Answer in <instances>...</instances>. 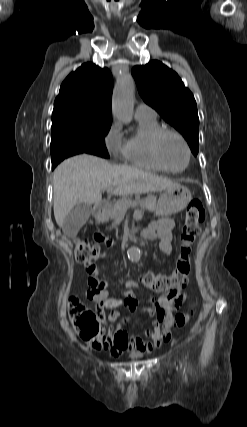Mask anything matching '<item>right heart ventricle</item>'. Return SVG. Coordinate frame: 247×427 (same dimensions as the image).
Segmentation results:
<instances>
[{"instance_id":"1","label":"right heart ventricle","mask_w":247,"mask_h":427,"mask_svg":"<svg viewBox=\"0 0 247 427\" xmlns=\"http://www.w3.org/2000/svg\"><path fill=\"white\" fill-rule=\"evenodd\" d=\"M135 131L125 140L123 158L126 162L151 171L163 172L152 153V139L163 128L156 117H138Z\"/></svg>"}]
</instances>
